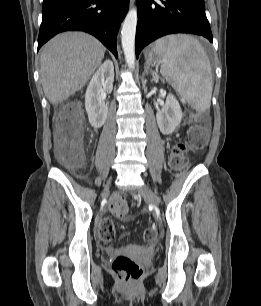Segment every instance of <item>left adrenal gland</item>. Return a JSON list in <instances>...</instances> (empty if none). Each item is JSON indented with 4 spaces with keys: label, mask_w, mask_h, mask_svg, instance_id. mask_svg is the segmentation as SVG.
Segmentation results:
<instances>
[{
    "label": "left adrenal gland",
    "mask_w": 261,
    "mask_h": 306,
    "mask_svg": "<svg viewBox=\"0 0 261 306\" xmlns=\"http://www.w3.org/2000/svg\"><path fill=\"white\" fill-rule=\"evenodd\" d=\"M144 72H145L146 75L150 72L152 74L153 78L156 77V73L151 69L148 62H146L145 65H144Z\"/></svg>",
    "instance_id": "1"
}]
</instances>
